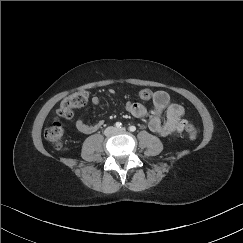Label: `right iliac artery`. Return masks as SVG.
<instances>
[{
    "label": "right iliac artery",
    "instance_id": "obj_1",
    "mask_svg": "<svg viewBox=\"0 0 243 243\" xmlns=\"http://www.w3.org/2000/svg\"><path fill=\"white\" fill-rule=\"evenodd\" d=\"M115 126H116L117 128H121V127H122V124H121V122H116V123H115Z\"/></svg>",
    "mask_w": 243,
    "mask_h": 243
}]
</instances>
